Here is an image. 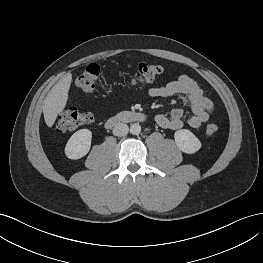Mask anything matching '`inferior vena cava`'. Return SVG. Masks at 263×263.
<instances>
[{"mask_svg":"<svg viewBox=\"0 0 263 263\" xmlns=\"http://www.w3.org/2000/svg\"><path fill=\"white\" fill-rule=\"evenodd\" d=\"M129 127L125 123H118L113 128V134L115 136H126L128 134Z\"/></svg>","mask_w":263,"mask_h":263,"instance_id":"602c4592","label":"inferior vena cava"}]
</instances>
